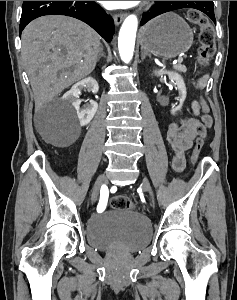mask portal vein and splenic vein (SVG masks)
I'll list each match as a JSON object with an SVG mask.
<instances>
[{
    "label": "portal vein and splenic vein",
    "mask_w": 237,
    "mask_h": 300,
    "mask_svg": "<svg viewBox=\"0 0 237 300\" xmlns=\"http://www.w3.org/2000/svg\"><path fill=\"white\" fill-rule=\"evenodd\" d=\"M182 60H183V59H182L181 57L178 58V66H182V64L184 63Z\"/></svg>",
    "instance_id": "portal-vein-and-splenic-vein-1"
}]
</instances>
